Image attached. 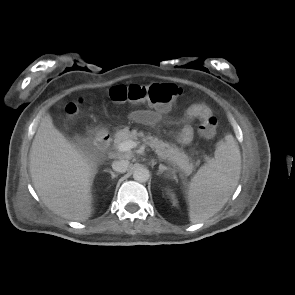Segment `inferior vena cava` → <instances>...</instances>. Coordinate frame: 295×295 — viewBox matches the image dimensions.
<instances>
[{
    "label": "inferior vena cava",
    "mask_w": 295,
    "mask_h": 295,
    "mask_svg": "<svg viewBox=\"0 0 295 295\" xmlns=\"http://www.w3.org/2000/svg\"><path fill=\"white\" fill-rule=\"evenodd\" d=\"M129 166L128 160H116L112 163V168L114 171L118 173H125L127 171V168Z\"/></svg>",
    "instance_id": "1"
}]
</instances>
